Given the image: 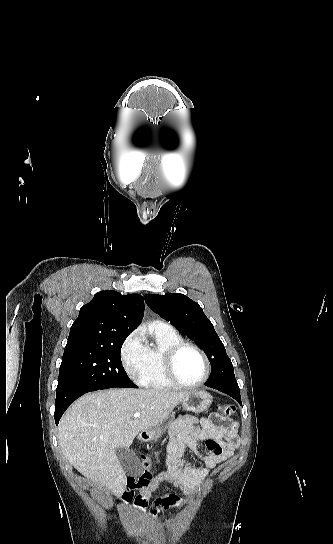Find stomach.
I'll return each instance as SVG.
<instances>
[{
  "mask_svg": "<svg viewBox=\"0 0 333 544\" xmlns=\"http://www.w3.org/2000/svg\"><path fill=\"white\" fill-rule=\"evenodd\" d=\"M212 403V397L208 392L205 391H192L185 395V397L182 399V406L185 411L189 412H203L209 408V406ZM175 416H171L170 418H166L165 420L161 421L159 424L154 426L153 428H150L148 430H145L144 433L147 437V439H151L152 437L156 435L162 434L172 423Z\"/></svg>",
  "mask_w": 333,
  "mask_h": 544,
  "instance_id": "obj_1",
  "label": "stomach"
}]
</instances>
